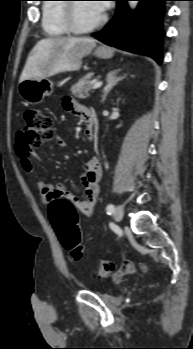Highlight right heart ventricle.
<instances>
[{
  "mask_svg": "<svg viewBox=\"0 0 193 349\" xmlns=\"http://www.w3.org/2000/svg\"><path fill=\"white\" fill-rule=\"evenodd\" d=\"M56 1L64 0H47L42 8L41 26L48 38H61L69 34L63 21L65 4Z\"/></svg>",
  "mask_w": 193,
  "mask_h": 349,
  "instance_id": "e07e8e85",
  "label": "right heart ventricle"
}]
</instances>
